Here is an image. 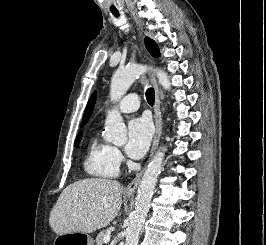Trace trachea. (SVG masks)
Wrapping results in <instances>:
<instances>
[{"instance_id":"trachea-1","label":"trachea","mask_w":266,"mask_h":245,"mask_svg":"<svg viewBox=\"0 0 266 245\" xmlns=\"http://www.w3.org/2000/svg\"><path fill=\"white\" fill-rule=\"evenodd\" d=\"M114 15L116 16L117 13H114ZM146 99L148 101L149 104H154V101H155V92H154V89L153 88H149L147 89L146 91Z\"/></svg>"}]
</instances>
